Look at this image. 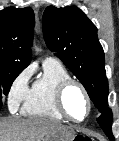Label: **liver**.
Instances as JSON below:
<instances>
[{"mask_svg":"<svg viewBox=\"0 0 119 141\" xmlns=\"http://www.w3.org/2000/svg\"><path fill=\"white\" fill-rule=\"evenodd\" d=\"M58 121L45 118L0 119V141H42L58 128Z\"/></svg>","mask_w":119,"mask_h":141,"instance_id":"obj_1","label":"liver"}]
</instances>
